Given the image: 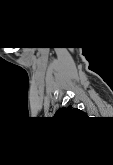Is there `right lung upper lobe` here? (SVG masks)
<instances>
[{
    "label": "right lung upper lobe",
    "instance_id": "cb5924a9",
    "mask_svg": "<svg viewBox=\"0 0 113 165\" xmlns=\"http://www.w3.org/2000/svg\"><path fill=\"white\" fill-rule=\"evenodd\" d=\"M86 114L82 112L80 109L73 108L71 105L67 107L60 108L55 116L62 117V118H76L79 116H85Z\"/></svg>",
    "mask_w": 113,
    "mask_h": 165
}]
</instances>
